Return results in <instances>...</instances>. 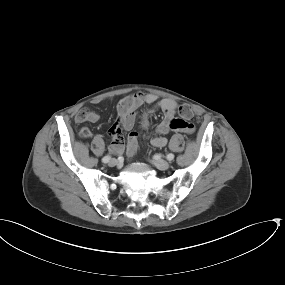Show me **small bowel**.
Segmentation results:
<instances>
[{
    "label": "small bowel",
    "instance_id": "small-bowel-1",
    "mask_svg": "<svg viewBox=\"0 0 285 285\" xmlns=\"http://www.w3.org/2000/svg\"><path fill=\"white\" fill-rule=\"evenodd\" d=\"M143 104L152 106L142 115L143 128L148 127L149 118L156 110H160L163 113V119L156 127V133L158 136L152 139V144L154 146L164 147L167 144V138L164 135L169 132L186 131L188 123L175 116L178 110V104L174 99L164 98L158 100L155 94L136 92L123 97L117 104V114L110 128L111 134L113 136L111 149L115 153H120L125 149L122 133L124 130H131L134 127L136 111ZM74 120L78 124L84 122L96 123L100 120V115L95 110L85 109L78 111L74 116ZM80 135L83 138H88L92 135V133L88 127H83L80 130ZM137 149V133L131 132L127 139V156L133 157L136 154Z\"/></svg>",
    "mask_w": 285,
    "mask_h": 285
}]
</instances>
